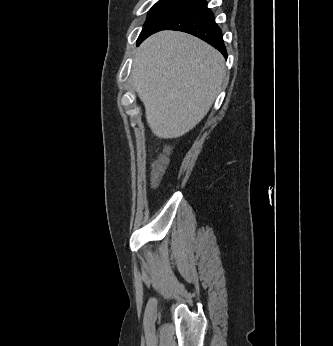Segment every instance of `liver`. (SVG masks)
I'll use <instances>...</instances> for the list:
<instances>
[{
    "instance_id": "1",
    "label": "liver",
    "mask_w": 333,
    "mask_h": 346,
    "mask_svg": "<svg viewBox=\"0 0 333 346\" xmlns=\"http://www.w3.org/2000/svg\"><path fill=\"white\" fill-rule=\"evenodd\" d=\"M225 76L221 53L183 32L160 31L134 55L133 88L161 139L178 138L208 113Z\"/></svg>"
}]
</instances>
